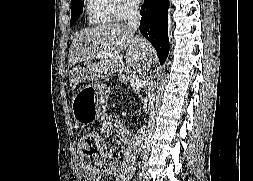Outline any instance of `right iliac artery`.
Listing matches in <instances>:
<instances>
[{
	"instance_id": "82829eb1",
	"label": "right iliac artery",
	"mask_w": 253,
	"mask_h": 181,
	"mask_svg": "<svg viewBox=\"0 0 253 181\" xmlns=\"http://www.w3.org/2000/svg\"><path fill=\"white\" fill-rule=\"evenodd\" d=\"M139 180L144 181V176L142 175V173H140V175H139Z\"/></svg>"
}]
</instances>
